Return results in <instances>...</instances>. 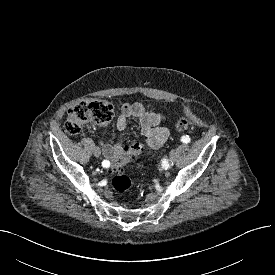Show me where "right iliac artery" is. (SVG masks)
<instances>
[{
  "label": "right iliac artery",
  "instance_id": "obj_1",
  "mask_svg": "<svg viewBox=\"0 0 275 275\" xmlns=\"http://www.w3.org/2000/svg\"><path fill=\"white\" fill-rule=\"evenodd\" d=\"M102 166L107 168L110 166V162L108 160H103Z\"/></svg>",
  "mask_w": 275,
  "mask_h": 275
}]
</instances>
